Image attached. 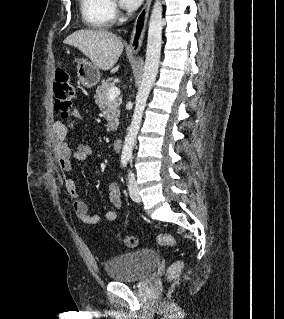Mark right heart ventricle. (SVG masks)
Returning a JSON list of instances; mask_svg holds the SVG:
<instances>
[{
  "label": "right heart ventricle",
  "mask_w": 284,
  "mask_h": 319,
  "mask_svg": "<svg viewBox=\"0 0 284 319\" xmlns=\"http://www.w3.org/2000/svg\"><path fill=\"white\" fill-rule=\"evenodd\" d=\"M80 12L86 25L105 29L113 21L109 0H79Z\"/></svg>",
  "instance_id": "obj_1"
}]
</instances>
